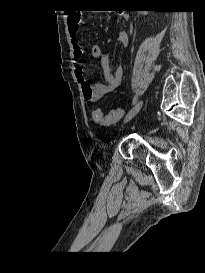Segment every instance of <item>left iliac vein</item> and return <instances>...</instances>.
<instances>
[{"mask_svg": "<svg viewBox=\"0 0 205 273\" xmlns=\"http://www.w3.org/2000/svg\"><path fill=\"white\" fill-rule=\"evenodd\" d=\"M143 103L144 101L140 100L131 108V110L128 112L124 119V123L130 121L141 110Z\"/></svg>", "mask_w": 205, "mask_h": 273, "instance_id": "obj_1", "label": "left iliac vein"}]
</instances>
